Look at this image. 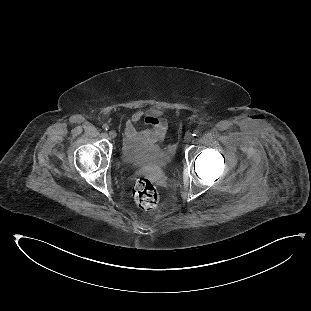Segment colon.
I'll list each match as a JSON object with an SVG mask.
<instances>
[{
    "label": "colon",
    "mask_w": 311,
    "mask_h": 311,
    "mask_svg": "<svg viewBox=\"0 0 311 311\" xmlns=\"http://www.w3.org/2000/svg\"><path fill=\"white\" fill-rule=\"evenodd\" d=\"M133 197L143 210H152L159 203L160 195L154 184L147 178L137 179L133 185Z\"/></svg>",
    "instance_id": "obj_1"
}]
</instances>
